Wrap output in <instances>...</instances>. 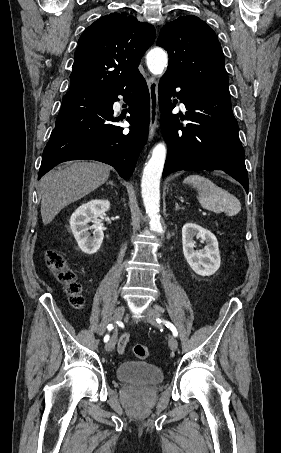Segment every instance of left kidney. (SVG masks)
<instances>
[{"label": "left kidney", "mask_w": 281, "mask_h": 453, "mask_svg": "<svg viewBox=\"0 0 281 453\" xmlns=\"http://www.w3.org/2000/svg\"><path fill=\"white\" fill-rule=\"evenodd\" d=\"M194 237L205 241L206 247L202 251H194ZM182 245L184 257L197 275L210 277L218 271L221 263L218 241L210 231L199 227L195 222H186L182 229Z\"/></svg>", "instance_id": "left-kidney-1"}]
</instances>
